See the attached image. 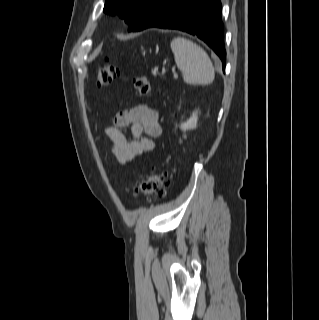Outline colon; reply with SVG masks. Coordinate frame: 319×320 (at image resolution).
Listing matches in <instances>:
<instances>
[{"instance_id":"colon-1","label":"colon","mask_w":319,"mask_h":320,"mask_svg":"<svg viewBox=\"0 0 319 320\" xmlns=\"http://www.w3.org/2000/svg\"><path fill=\"white\" fill-rule=\"evenodd\" d=\"M119 76L117 67L106 64L100 67L96 83L99 87L110 85ZM131 83L138 95L145 96L150 92V82L148 77L137 75L131 77ZM171 181V173L169 171H151L142 177L133 187L134 195H154L156 197H165L166 190Z\"/></svg>"}]
</instances>
